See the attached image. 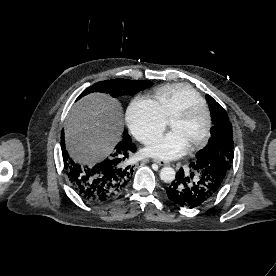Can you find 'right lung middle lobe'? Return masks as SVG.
Instances as JSON below:
<instances>
[{
  "mask_svg": "<svg viewBox=\"0 0 276 276\" xmlns=\"http://www.w3.org/2000/svg\"><path fill=\"white\" fill-rule=\"evenodd\" d=\"M152 85L151 81H130L126 79H115L97 82L87 88L77 99L94 92H102L110 94L111 96L118 98L124 95H134L137 92L144 90ZM124 139H129V135L124 132Z\"/></svg>",
  "mask_w": 276,
  "mask_h": 276,
  "instance_id": "1",
  "label": "right lung middle lobe"
}]
</instances>
